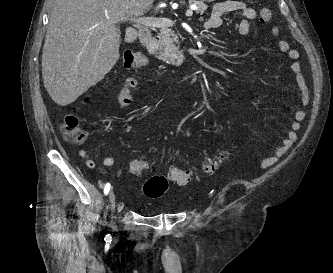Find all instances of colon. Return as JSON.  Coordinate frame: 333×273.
I'll use <instances>...</instances> for the list:
<instances>
[{
	"mask_svg": "<svg viewBox=\"0 0 333 273\" xmlns=\"http://www.w3.org/2000/svg\"><path fill=\"white\" fill-rule=\"evenodd\" d=\"M272 11L269 8H262L260 10V21L267 24L272 19ZM148 60L140 53L133 51H126L123 55V66L126 69L140 68L146 66ZM64 137L72 143H82L86 138V132L83 130L79 117L77 115V108L66 115L61 126ZM230 156V152H221L214 159L208 160L202 166L205 173H213L218 166L223 163ZM149 162L143 158L131 160L127 165V170L130 175L134 177H141L149 167ZM168 178L180 186H186L193 180L191 172L170 168L168 171ZM168 178L163 175H153L146 180L143 185V192L148 198L161 197L168 189Z\"/></svg>",
	"mask_w": 333,
	"mask_h": 273,
	"instance_id": "1",
	"label": "colon"
}]
</instances>
